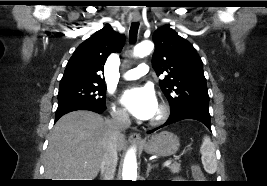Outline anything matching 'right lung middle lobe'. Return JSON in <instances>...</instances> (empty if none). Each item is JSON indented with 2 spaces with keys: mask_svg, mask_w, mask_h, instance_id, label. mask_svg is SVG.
<instances>
[{
  "mask_svg": "<svg viewBox=\"0 0 267 186\" xmlns=\"http://www.w3.org/2000/svg\"><path fill=\"white\" fill-rule=\"evenodd\" d=\"M106 91L104 85L69 84L61 85L58 92V103L84 101L105 105Z\"/></svg>",
  "mask_w": 267,
  "mask_h": 186,
  "instance_id": "1",
  "label": "right lung middle lobe"
}]
</instances>
